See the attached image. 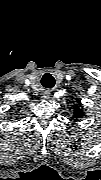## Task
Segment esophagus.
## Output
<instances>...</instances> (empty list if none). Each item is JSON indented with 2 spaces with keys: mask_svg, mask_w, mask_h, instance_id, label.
<instances>
[{
  "mask_svg": "<svg viewBox=\"0 0 101 180\" xmlns=\"http://www.w3.org/2000/svg\"><path fill=\"white\" fill-rule=\"evenodd\" d=\"M49 95H50V92L49 91H45L42 95V98L44 99H48L49 98Z\"/></svg>",
  "mask_w": 101,
  "mask_h": 180,
  "instance_id": "34e87169",
  "label": "esophagus"
}]
</instances>
